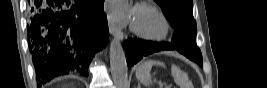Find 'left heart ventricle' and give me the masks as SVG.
<instances>
[{
	"label": "left heart ventricle",
	"instance_id": "b2bd125f",
	"mask_svg": "<svg viewBox=\"0 0 267 88\" xmlns=\"http://www.w3.org/2000/svg\"><path fill=\"white\" fill-rule=\"evenodd\" d=\"M134 21L140 25L142 28L157 32L160 30V24L151 15L138 12L133 16Z\"/></svg>",
	"mask_w": 267,
	"mask_h": 88
}]
</instances>
